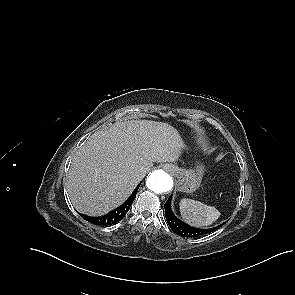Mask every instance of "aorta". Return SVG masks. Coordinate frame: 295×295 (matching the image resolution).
<instances>
[{
    "instance_id": "aorta-1",
    "label": "aorta",
    "mask_w": 295,
    "mask_h": 295,
    "mask_svg": "<svg viewBox=\"0 0 295 295\" xmlns=\"http://www.w3.org/2000/svg\"><path fill=\"white\" fill-rule=\"evenodd\" d=\"M146 186L154 193L168 192L173 187L172 177L163 170H155L146 180Z\"/></svg>"
}]
</instances>
